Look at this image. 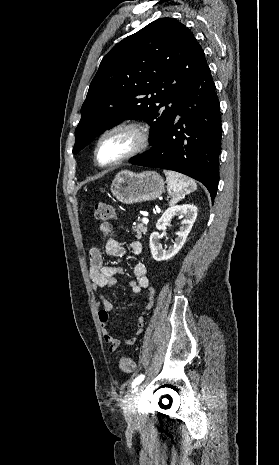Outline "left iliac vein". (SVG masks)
Masks as SVG:
<instances>
[{
  "mask_svg": "<svg viewBox=\"0 0 279 465\" xmlns=\"http://www.w3.org/2000/svg\"><path fill=\"white\" fill-rule=\"evenodd\" d=\"M142 386L138 385L130 394L128 400H127V405L125 408V419L126 421L134 425L137 422V401L138 397L140 394Z\"/></svg>",
  "mask_w": 279,
  "mask_h": 465,
  "instance_id": "4c4485c4",
  "label": "left iliac vein"
}]
</instances>
